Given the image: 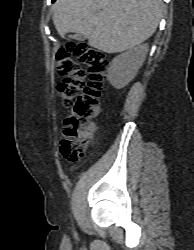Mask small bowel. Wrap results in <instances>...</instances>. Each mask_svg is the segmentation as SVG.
Returning a JSON list of instances; mask_svg holds the SVG:
<instances>
[{
    "label": "small bowel",
    "instance_id": "c3829d8e",
    "mask_svg": "<svg viewBox=\"0 0 194 250\" xmlns=\"http://www.w3.org/2000/svg\"><path fill=\"white\" fill-rule=\"evenodd\" d=\"M91 133H93L96 129V126L94 124L90 125Z\"/></svg>",
    "mask_w": 194,
    "mask_h": 250
}]
</instances>
